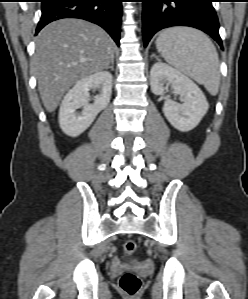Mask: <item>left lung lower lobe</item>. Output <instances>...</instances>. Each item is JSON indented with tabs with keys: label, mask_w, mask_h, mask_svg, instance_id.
Listing matches in <instances>:
<instances>
[{
	"label": "left lung lower lobe",
	"mask_w": 248,
	"mask_h": 299,
	"mask_svg": "<svg viewBox=\"0 0 248 299\" xmlns=\"http://www.w3.org/2000/svg\"><path fill=\"white\" fill-rule=\"evenodd\" d=\"M143 2L144 47L159 30L190 26L209 34L223 48L213 0H140Z\"/></svg>",
	"instance_id": "0a47b994"
}]
</instances>
